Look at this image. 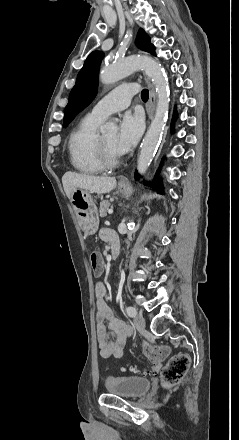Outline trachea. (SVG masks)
I'll return each instance as SVG.
<instances>
[{"label":"trachea","mask_w":239,"mask_h":440,"mask_svg":"<svg viewBox=\"0 0 239 440\" xmlns=\"http://www.w3.org/2000/svg\"><path fill=\"white\" fill-rule=\"evenodd\" d=\"M148 96H149V92H148V90H147V89H143L142 92H141V98H142L144 101H147V100H148Z\"/></svg>","instance_id":"trachea-1"}]
</instances>
